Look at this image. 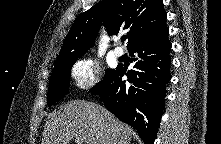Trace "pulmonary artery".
<instances>
[{
	"label": "pulmonary artery",
	"instance_id": "pulmonary-artery-1",
	"mask_svg": "<svg viewBox=\"0 0 221 144\" xmlns=\"http://www.w3.org/2000/svg\"><path fill=\"white\" fill-rule=\"evenodd\" d=\"M113 52H114V55L117 57H121L124 54V50L119 46L115 47Z\"/></svg>",
	"mask_w": 221,
	"mask_h": 144
}]
</instances>
